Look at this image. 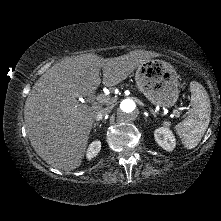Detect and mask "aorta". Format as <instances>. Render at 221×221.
<instances>
[{"label": "aorta", "instance_id": "obj_1", "mask_svg": "<svg viewBox=\"0 0 221 221\" xmlns=\"http://www.w3.org/2000/svg\"><path fill=\"white\" fill-rule=\"evenodd\" d=\"M138 115V106L136 102L130 98L123 99L117 108V117L122 122H131Z\"/></svg>", "mask_w": 221, "mask_h": 221}]
</instances>
